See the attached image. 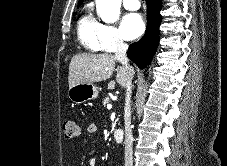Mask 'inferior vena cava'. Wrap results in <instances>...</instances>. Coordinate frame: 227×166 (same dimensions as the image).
Listing matches in <instances>:
<instances>
[{
	"instance_id": "inferior-vena-cava-1",
	"label": "inferior vena cava",
	"mask_w": 227,
	"mask_h": 166,
	"mask_svg": "<svg viewBox=\"0 0 227 166\" xmlns=\"http://www.w3.org/2000/svg\"><path fill=\"white\" fill-rule=\"evenodd\" d=\"M128 45L123 41H118L115 58L118 60L124 68L125 71V87H126V98H125V166H133V136L131 129V88H132V78L134 74L133 68L128 64V58L126 55Z\"/></svg>"
}]
</instances>
